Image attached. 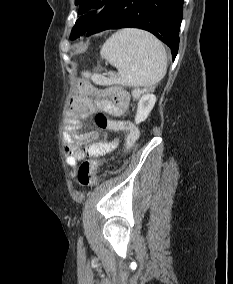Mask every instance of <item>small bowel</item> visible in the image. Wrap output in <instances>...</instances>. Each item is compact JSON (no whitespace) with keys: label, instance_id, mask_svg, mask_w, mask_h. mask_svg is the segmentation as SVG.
<instances>
[{"label":"small bowel","instance_id":"obj_1","mask_svg":"<svg viewBox=\"0 0 233 284\" xmlns=\"http://www.w3.org/2000/svg\"><path fill=\"white\" fill-rule=\"evenodd\" d=\"M129 102V93L121 88L99 89L85 82L75 84L68 103L69 119L63 149L66 163L70 167L74 168L86 157L94 160L107 155L118 145L116 138L91 142L97 140L98 134L96 132L82 134L80 132L82 121L97 111L119 117L125 112ZM71 175L74 173L71 172Z\"/></svg>","mask_w":233,"mask_h":284}]
</instances>
